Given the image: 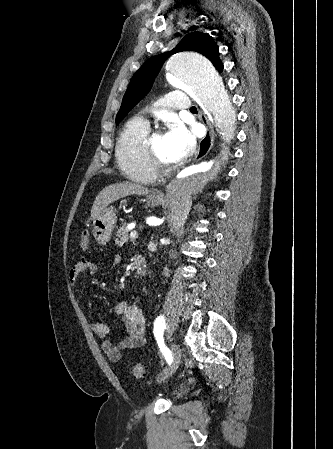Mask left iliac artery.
Wrapping results in <instances>:
<instances>
[{
  "instance_id": "obj_1",
  "label": "left iliac artery",
  "mask_w": 333,
  "mask_h": 449,
  "mask_svg": "<svg viewBox=\"0 0 333 449\" xmlns=\"http://www.w3.org/2000/svg\"><path fill=\"white\" fill-rule=\"evenodd\" d=\"M166 326H165V320L164 317L158 316L154 322V336L157 340L158 346L162 352V354L164 355L166 361L168 364H171L173 361V356L171 351L165 346L164 344V339H163V333L165 330Z\"/></svg>"
}]
</instances>
